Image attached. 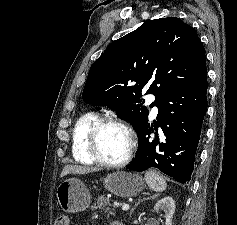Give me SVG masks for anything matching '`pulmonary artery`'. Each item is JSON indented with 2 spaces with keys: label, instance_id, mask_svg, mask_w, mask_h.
Wrapping results in <instances>:
<instances>
[{
  "label": "pulmonary artery",
  "instance_id": "1",
  "mask_svg": "<svg viewBox=\"0 0 237 225\" xmlns=\"http://www.w3.org/2000/svg\"><path fill=\"white\" fill-rule=\"evenodd\" d=\"M153 101H154V97H153V96H148V97H147V102H148L149 104L152 103ZM156 114H157V108L154 107L153 110H152V115H153V116H156Z\"/></svg>",
  "mask_w": 237,
  "mask_h": 225
}]
</instances>
